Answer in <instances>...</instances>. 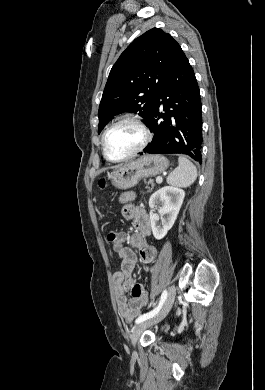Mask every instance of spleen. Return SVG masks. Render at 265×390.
<instances>
[{
    "label": "spleen",
    "mask_w": 265,
    "mask_h": 390,
    "mask_svg": "<svg viewBox=\"0 0 265 390\" xmlns=\"http://www.w3.org/2000/svg\"><path fill=\"white\" fill-rule=\"evenodd\" d=\"M178 167L167 177V183L177 187H189L197 178V168L186 157L178 158Z\"/></svg>",
    "instance_id": "3e777b00"
}]
</instances>
